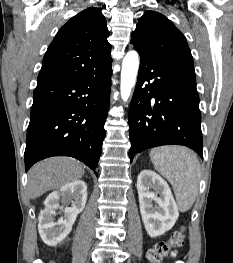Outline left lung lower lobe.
<instances>
[{"instance_id": "left-lung-lower-lobe-1", "label": "left lung lower lobe", "mask_w": 233, "mask_h": 263, "mask_svg": "<svg viewBox=\"0 0 233 263\" xmlns=\"http://www.w3.org/2000/svg\"><path fill=\"white\" fill-rule=\"evenodd\" d=\"M200 124L194 66L141 57L129 111L130 160L167 144L187 146L203 157Z\"/></svg>"}]
</instances>
